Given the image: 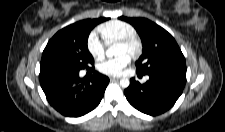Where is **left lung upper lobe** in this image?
<instances>
[{"instance_id":"left-lung-upper-lobe-1","label":"left lung upper lobe","mask_w":225,"mask_h":132,"mask_svg":"<svg viewBox=\"0 0 225 132\" xmlns=\"http://www.w3.org/2000/svg\"><path fill=\"white\" fill-rule=\"evenodd\" d=\"M137 30L143 44V54L136 62L137 73L155 71H186V62L170 33L145 18L120 17Z\"/></svg>"}]
</instances>
